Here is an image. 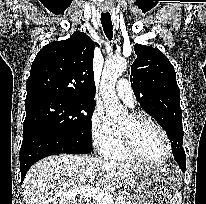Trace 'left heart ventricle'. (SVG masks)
Masks as SVG:
<instances>
[{"label": "left heart ventricle", "instance_id": "1", "mask_svg": "<svg viewBox=\"0 0 206 204\" xmlns=\"http://www.w3.org/2000/svg\"><path fill=\"white\" fill-rule=\"evenodd\" d=\"M119 126L132 130L135 145L146 158L160 160L167 155V145L164 137L151 124L141 123L131 127L129 116H127Z\"/></svg>", "mask_w": 206, "mask_h": 204}]
</instances>
